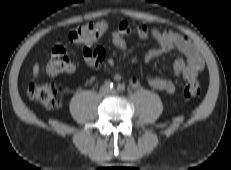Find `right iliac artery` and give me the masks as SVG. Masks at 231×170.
<instances>
[{
	"label": "right iliac artery",
	"mask_w": 231,
	"mask_h": 170,
	"mask_svg": "<svg viewBox=\"0 0 231 170\" xmlns=\"http://www.w3.org/2000/svg\"><path fill=\"white\" fill-rule=\"evenodd\" d=\"M104 85L107 89H113L114 88V84L110 80L105 81Z\"/></svg>",
	"instance_id": "obj_1"
}]
</instances>
